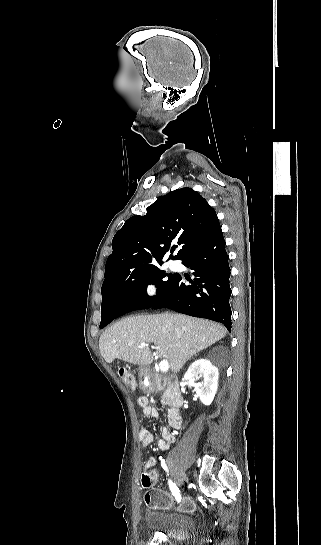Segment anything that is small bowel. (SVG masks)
Listing matches in <instances>:
<instances>
[{
    "mask_svg": "<svg viewBox=\"0 0 321 545\" xmlns=\"http://www.w3.org/2000/svg\"><path fill=\"white\" fill-rule=\"evenodd\" d=\"M137 404L143 409V413L147 417H157L158 411L155 407L149 404L148 398L146 396H139L137 398ZM139 440L141 442L142 448H146L155 441V435L153 432L149 431L146 428H142L139 432ZM175 436L174 432L169 428H164L162 430V438L157 442L160 450L165 451L169 449L170 445L174 442ZM156 464L154 457H149L144 466V472L148 473L152 479V482L155 483L159 478V472L154 467Z\"/></svg>",
    "mask_w": 321,
    "mask_h": 545,
    "instance_id": "small-bowel-1",
    "label": "small bowel"
}]
</instances>
